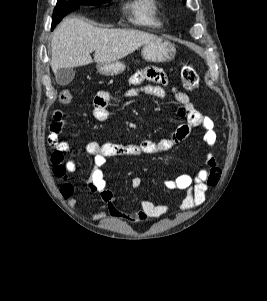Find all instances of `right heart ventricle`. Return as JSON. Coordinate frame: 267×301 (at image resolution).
Returning a JSON list of instances; mask_svg holds the SVG:
<instances>
[{
  "label": "right heart ventricle",
  "mask_w": 267,
  "mask_h": 301,
  "mask_svg": "<svg viewBox=\"0 0 267 301\" xmlns=\"http://www.w3.org/2000/svg\"><path fill=\"white\" fill-rule=\"evenodd\" d=\"M128 8L137 23L153 26L161 24L156 0H135Z\"/></svg>",
  "instance_id": "1"
}]
</instances>
